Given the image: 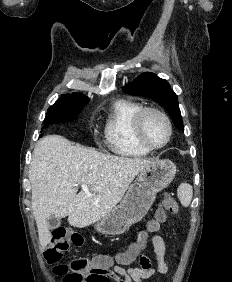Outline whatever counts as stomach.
Wrapping results in <instances>:
<instances>
[{"label":"stomach","instance_id":"1","mask_svg":"<svg viewBox=\"0 0 232 282\" xmlns=\"http://www.w3.org/2000/svg\"><path fill=\"white\" fill-rule=\"evenodd\" d=\"M177 168L168 159H157L147 165L128 188L121 203L94 224L102 235L116 236L139 222L155 200L156 194L174 179Z\"/></svg>","mask_w":232,"mask_h":282}]
</instances>
